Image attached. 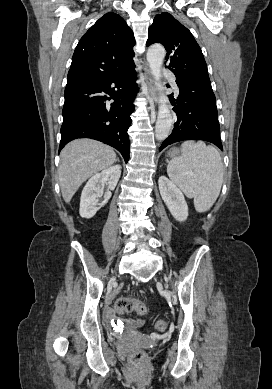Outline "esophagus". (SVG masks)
Masks as SVG:
<instances>
[{
    "label": "esophagus",
    "instance_id": "1",
    "mask_svg": "<svg viewBox=\"0 0 272 389\" xmlns=\"http://www.w3.org/2000/svg\"><path fill=\"white\" fill-rule=\"evenodd\" d=\"M145 74H146V85H147L145 94L157 104L158 98L154 86V81L151 72L148 68H146Z\"/></svg>",
    "mask_w": 272,
    "mask_h": 389
}]
</instances>
